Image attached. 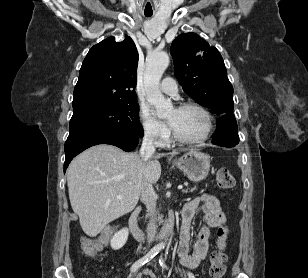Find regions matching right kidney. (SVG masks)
Instances as JSON below:
<instances>
[{"label":"right kidney","mask_w":308,"mask_h":278,"mask_svg":"<svg viewBox=\"0 0 308 278\" xmlns=\"http://www.w3.org/2000/svg\"><path fill=\"white\" fill-rule=\"evenodd\" d=\"M128 234H129V231L127 228H123L122 230L115 233L111 239V243H110L111 248L114 250H118L122 248L128 239Z\"/></svg>","instance_id":"1"}]
</instances>
